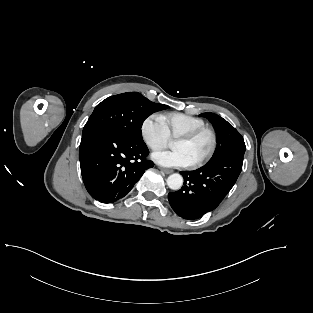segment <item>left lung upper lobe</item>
Segmentation results:
<instances>
[{"label": "left lung upper lobe", "mask_w": 313, "mask_h": 313, "mask_svg": "<svg viewBox=\"0 0 313 313\" xmlns=\"http://www.w3.org/2000/svg\"><path fill=\"white\" fill-rule=\"evenodd\" d=\"M200 116L208 118L217 133L218 144L209 161L232 154L245 153L246 146L244 139L230 123L214 113H202Z\"/></svg>", "instance_id": "1"}]
</instances>
